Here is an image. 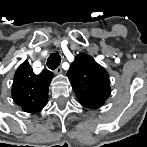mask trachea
Returning <instances> with one entry per match:
<instances>
[{"instance_id":"obj_1","label":"trachea","mask_w":147,"mask_h":147,"mask_svg":"<svg viewBox=\"0 0 147 147\" xmlns=\"http://www.w3.org/2000/svg\"><path fill=\"white\" fill-rule=\"evenodd\" d=\"M61 62V58L58 54H53L48 58L47 67L51 70H55Z\"/></svg>"}]
</instances>
